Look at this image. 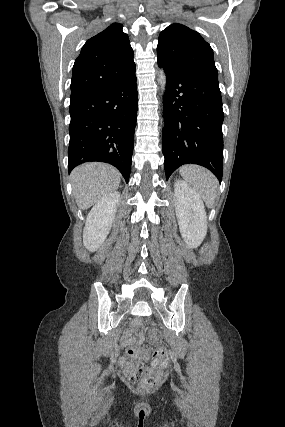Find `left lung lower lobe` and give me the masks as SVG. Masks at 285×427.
Returning <instances> with one entry per match:
<instances>
[{
  "mask_svg": "<svg viewBox=\"0 0 285 427\" xmlns=\"http://www.w3.org/2000/svg\"><path fill=\"white\" fill-rule=\"evenodd\" d=\"M158 65L166 73L162 135L166 178L181 165L198 164L221 181L224 113L218 79L170 68L160 61Z\"/></svg>",
  "mask_w": 285,
  "mask_h": 427,
  "instance_id": "obj_1",
  "label": "left lung lower lobe"
}]
</instances>
